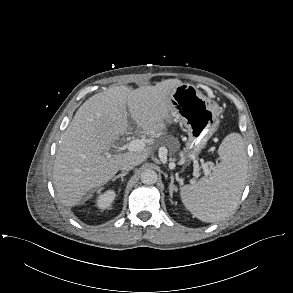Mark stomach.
<instances>
[{
    "instance_id": "obj_1",
    "label": "stomach",
    "mask_w": 293,
    "mask_h": 293,
    "mask_svg": "<svg viewBox=\"0 0 293 293\" xmlns=\"http://www.w3.org/2000/svg\"><path fill=\"white\" fill-rule=\"evenodd\" d=\"M173 118L182 123L188 133L186 159H193L206 146L219 127L221 108L194 85L183 83L170 93Z\"/></svg>"
}]
</instances>
